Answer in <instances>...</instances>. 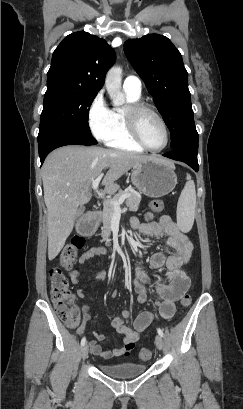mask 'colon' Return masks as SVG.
<instances>
[{"label": "colon", "instance_id": "5ec220e1", "mask_svg": "<svg viewBox=\"0 0 243 409\" xmlns=\"http://www.w3.org/2000/svg\"><path fill=\"white\" fill-rule=\"evenodd\" d=\"M150 207L154 212H160L163 209L161 200H152ZM85 238L74 236L70 243L66 245L59 255L60 267L53 268L49 273L50 296L54 305L57 317L69 328H75L80 320V311L71 298L68 288V281L63 273V269H70L75 263L77 252L84 248ZM191 304L189 295H185L180 300L182 308H187ZM139 357L148 360L151 357V351L143 348L139 352Z\"/></svg>", "mask_w": 243, "mask_h": 409}]
</instances>
